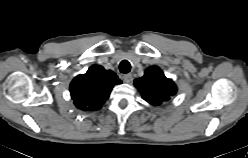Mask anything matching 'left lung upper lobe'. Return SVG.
Returning <instances> with one entry per match:
<instances>
[{
    "label": "left lung upper lobe",
    "mask_w": 248,
    "mask_h": 158,
    "mask_svg": "<svg viewBox=\"0 0 248 158\" xmlns=\"http://www.w3.org/2000/svg\"><path fill=\"white\" fill-rule=\"evenodd\" d=\"M134 84L142 98L155 105L168 100L177 91L174 82L166 78L162 70L156 66L149 67L143 77L134 80Z\"/></svg>",
    "instance_id": "1"
}]
</instances>
